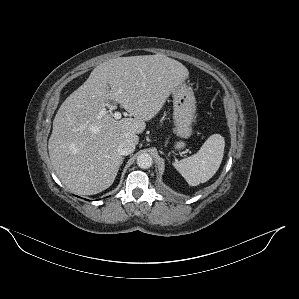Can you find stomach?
<instances>
[{
    "mask_svg": "<svg viewBox=\"0 0 299 299\" xmlns=\"http://www.w3.org/2000/svg\"><path fill=\"white\" fill-rule=\"evenodd\" d=\"M173 95V132L177 137L187 139L192 135V124L195 119L196 99L191 87L182 83L172 91ZM186 146L180 140L174 143L175 150Z\"/></svg>",
    "mask_w": 299,
    "mask_h": 299,
    "instance_id": "0dacf381",
    "label": "stomach"
}]
</instances>
